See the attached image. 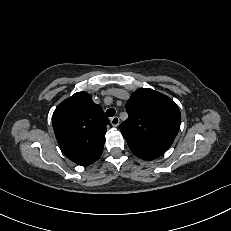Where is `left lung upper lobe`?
<instances>
[{
  "label": "left lung upper lobe",
  "instance_id": "5c2ea615",
  "mask_svg": "<svg viewBox=\"0 0 231 231\" xmlns=\"http://www.w3.org/2000/svg\"><path fill=\"white\" fill-rule=\"evenodd\" d=\"M126 110L128 119L119 128L133 154L144 160L163 155L180 128L181 114L175 102L150 88H141L132 93Z\"/></svg>",
  "mask_w": 231,
  "mask_h": 231
}]
</instances>
